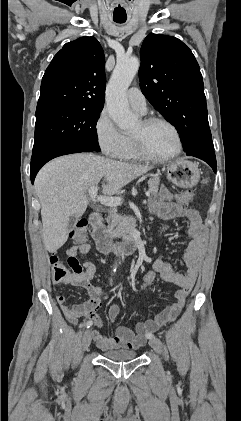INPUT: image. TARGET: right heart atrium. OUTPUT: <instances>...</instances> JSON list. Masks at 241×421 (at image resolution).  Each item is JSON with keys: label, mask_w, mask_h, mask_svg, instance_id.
<instances>
[{"label": "right heart atrium", "mask_w": 241, "mask_h": 421, "mask_svg": "<svg viewBox=\"0 0 241 421\" xmlns=\"http://www.w3.org/2000/svg\"><path fill=\"white\" fill-rule=\"evenodd\" d=\"M94 130L102 152L109 157L117 158L124 143V135L106 109L100 112Z\"/></svg>", "instance_id": "1"}]
</instances>
